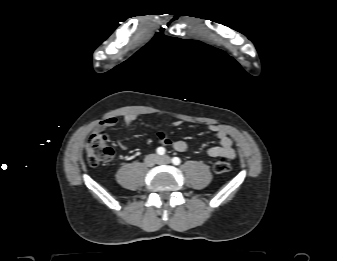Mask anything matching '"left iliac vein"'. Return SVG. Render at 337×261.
Here are the masks:
<instances>
[{
  "instance_id": "obj_1",
  "label": "left iliac vein",
  "mask_w": 337,
  "mask_h": 261,
  "mask_svg": "<svg viewBox=\"0 0 337 261\" xmlns=\"http://www.w3.org/2000/svg\"><path fill=\"white\" fill-rule=\"evenodd\" d=\"M170 162H171V159L167 155L159 157L158 163H160V164H169Z\"/></svg>"
}]
</instances>
